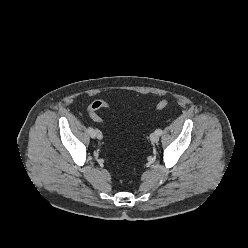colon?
Instances as JSON below:
<instances>
[{
  "label": "colon",
  "mask_w": 248,
  "mask_h": 248,
  "mask_svg": "<svg viewBox=\"0 0 248 248\" xmlns=\"http://www.w3.org/2000/svg\"><path fill=\"white\" fill-rule=\"evenodd\" d=\"M169 105V101L167 99H163L159 101L156 105L157 110H163ZM109 104L104 100H97L90 104L88 108L89 115L92 120L96 122H102L101 117L98 115V111L103 108H108Z\"/></svg>",
  "instance_id": "1"
}]
</instances>
